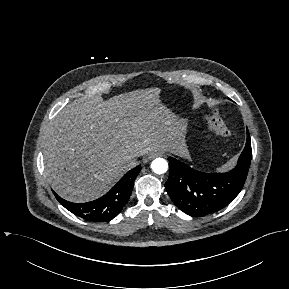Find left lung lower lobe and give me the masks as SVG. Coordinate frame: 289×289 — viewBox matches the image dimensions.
Segmentation results:
<instances>
[{
  "instance_id": "0a47b994",
  "label": "left lung lower lobe",
  "mask_w": 289,
  "mask_h": 289,
  "mask_svg": "<svg viewBox=\"0 0 289 289\" xmlns=\"http://www.w3.org/2000/svg\"><path fill=\"white\" fill-rule=\"evenodd\" d=\"M252 158L250 135L237 166L226 173H202L169 157L165 188L174 204L190 216H205L230 203L241 191Z\"/></svg>"
}]
</instances>
